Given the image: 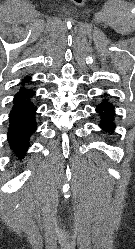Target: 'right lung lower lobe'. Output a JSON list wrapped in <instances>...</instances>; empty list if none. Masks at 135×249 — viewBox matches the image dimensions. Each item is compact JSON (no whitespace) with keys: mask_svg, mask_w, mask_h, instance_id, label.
I'll list each match as a JSON object with an SVG mask.
<instances>
[{"mask_svg":"<svg viewBox=\"0 0 135 249\" xmlns=\"http://www.w3.org/2000/svg\"><path fill=\"white\" fill-rule=\"evenodd\" d=\"M30 80L31 76H27L19 84L8 120L7 140L13 153L19 158L26 155L30 137L37 129V106L33 102L35 92L27 86Z\"/></svg>","mask_w":135,"mask_h":249,"instance_id":"1","label":"right lung lower lobe"}]
</instances>
